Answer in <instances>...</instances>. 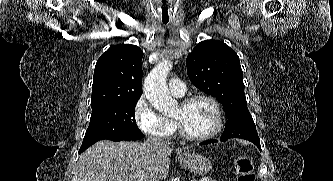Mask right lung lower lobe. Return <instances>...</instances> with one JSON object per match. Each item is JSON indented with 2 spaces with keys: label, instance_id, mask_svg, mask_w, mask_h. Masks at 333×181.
I'll use <instances>...</instances> for the list:
<instances>
[{
  "label": "right lung lower lobe",
  "instance_id": "obj_1",
  "mask_svg": "<svg viewBox=\"0 0 333 181\" xmlns=\"http://www.w3.org/2000/svg\"><path fill=\"white\" fill-rule=\"evenodd\" d=\"M94 144V143H93ZM92 144L90 145H87V146H81L80 147V150H79V154L82 153L84 150H86L89 146H91Z\"/></svg>",
  "mask_w": 333,
  "mask_h": 181
}]
</instances>
